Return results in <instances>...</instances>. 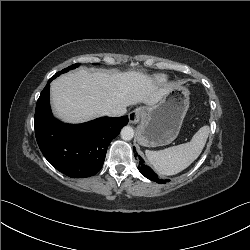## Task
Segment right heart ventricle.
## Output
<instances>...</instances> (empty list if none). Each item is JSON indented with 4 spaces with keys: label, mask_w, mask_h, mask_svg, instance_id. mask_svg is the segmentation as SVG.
<instances>
[{
    "label": "right heart ventricle",
    "mask_w": 250,
    "mask_h": 250,
    "mask_svg": "<svg viewBox=\"0 0 250 250\" xmlns=\"http://www.w3.org/2000/svg\"><path fill=\"white\" fill-rule=\"evenodd\" d=\"M158 80L163 81V80H165V78L161 76V77L158 78Z\"/></svg>",
    "instance_id": "right-heart-ventricle-1"
}]
</instances>
